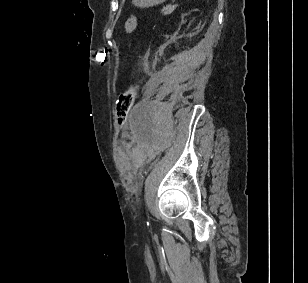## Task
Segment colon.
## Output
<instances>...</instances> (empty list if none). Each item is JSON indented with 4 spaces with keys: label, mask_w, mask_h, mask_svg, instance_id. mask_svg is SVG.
Returning a JSON list of instances; mask_svg holds the SVG:
<instances>
[{
    "label": "colon",
    "mask_w": 308,
    "mask_h": 283,
    "mask_svg": "<svg viewBox=\"0 0 308 283\" xmlns=\"http://www.w3.org/2000/svg\"><path fill=\"white\" fill-rule=\"evenodd\" d=\"M137 17L131 16L125 23V33H132L137 26ZM138 88L136 85L131 86L126 91L122 92L116 101V120L119 125H123L127 119V116L137 98Z\"/></svg>",
    "instance_id": "obj_1"
}]
</instances>
